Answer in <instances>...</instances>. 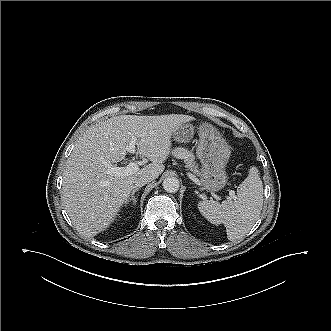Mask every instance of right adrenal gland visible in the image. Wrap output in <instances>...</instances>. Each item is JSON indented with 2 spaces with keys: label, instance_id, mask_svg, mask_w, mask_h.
Wrapping results in <instances>:
<instances>
[{
  "label": "right adrenal gland",
  "instance_id": "obj_1",
  "mask_svg": "<svg viewBox=\"0 0 331 331\" xmlns=\"http://www.w3.org/2000/svg\"><path fill=\"white\" fill-rule=\"evenodd\" d=\"M139 189H140V187H134L133 188V190L130 194V197L128 198V202L132 201L134 205L136 204L137 198L134 195L137 191H139Z\"/></svg>",
  "mask_w": 331,
  "mask_h": 331
}]
</instances>
